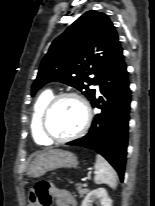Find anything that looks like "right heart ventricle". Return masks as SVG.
I'll use <instances>...</instances> for the list:
<instances>
[{
	"mask_svg": "<svg viewBox=\"0 0 155 206\" xmlns=\"http://www.w3.org/2000/svg\"><path fill=\"white\" fill-rule=\"evenodd\" d=\"M53 96L54 94L52 90H45L38 96L33 106L31 116V132L34 141L39 145H49L51 143L41 132L40 118L45 106Z\"/></svg>",
	"mask_w": 155,
	"mask_h": 206,
	"instance_id": "right-heart-ventricle-1",
	"label": "right heart ventricle"
}]
</instances>
